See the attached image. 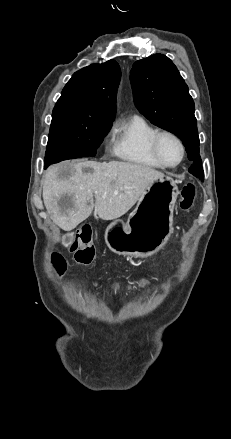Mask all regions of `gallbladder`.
<instances>
[{"mask_svg":"<svg viewBox=\"0 0 231 439\" xmlns=\"http://www.w3.org/2000/svg\"><path fill=\"white\" fill-rule=\"evenodd\" d=\"M73 240V235L72 234H67L64 236V243L69 245L71 243V241Z\"/></svg>","mask_w":231,"mask_h":439,"instance_id":"1","label":"gallbladder"}]
</instances>
